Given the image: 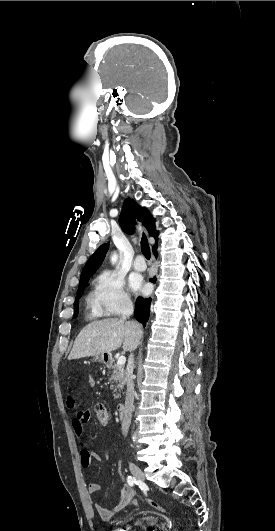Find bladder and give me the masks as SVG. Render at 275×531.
Segmentation results:
<instances>
[{"mask_svg":"<svg viewBox=\"0 0 275 531\" xmlns=\"http://www.w3.org/2000/svg\"><path fill=\"white\" fill-rule=\"evenodd\" d=\"M139 526H140V528H151L152 521H151V519H146V518L143 517L139 521Z\"/></svg>","mask_w":275,"mask_h":531,"instance_id":"1","label":"bladder"}]
</instances>
